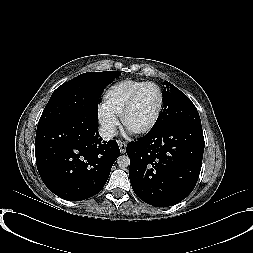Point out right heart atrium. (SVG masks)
I'll return each instance as SVG.
<instances>
[{
    "mask_svg": "<svg viewBox=\"0 0 253 253\" xmlns=\"http://www.w3.org/2000/svg\"><path fill=\"white\" fill-rule=\"evenodd\" d=\"M97 120L104 136L112 137L115 135L119 124L118 116L101 105L97 108Z\"/></svg>",
    "mask_w": 253,
    "mask_h": 253,
    "instance_id": "obj_1",
    "label": "right heart atrium"
}]
</instances>
